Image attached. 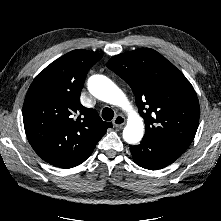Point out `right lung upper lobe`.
Returning <instances> with one entry per match:
<instances>
[{"label": "right lung upper lobe", "instance_id": "1", "mask_svg": "<svg viewBox=\"0 0 221 221\" xmlns=\"http://www.w3.org/2000/svg\"><path fill=\"white\" fill-rule=\"evenodd\" d=\"M101 58L73 50L47 66L29 87L23 105L25 132L38 156L53 166L80 165L112 127L80 103L87 72Z\"/></svg>", "mask_w": 221, "mask_h": 221}]
</instances>
